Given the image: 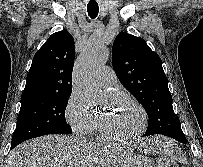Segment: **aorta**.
<instances>
[{
  "label": "aorta",
  "mask_w": 203,
  "mask_h": 167,
  "mask_svg": "<svg viewBox=\"0 0 203 167\" xmlns=\"http://www.w3.org/2000/svg\"><path fill=\"white\" fill-rule=\"evenodd\" d=\"M108 58V48L99 42L91 41L76 61L73 89L88 106H95L101 100L102 93L95 83L94 76Z\"/></svg>",
  "instance_id": "aorta-1"
}]
</instances>
